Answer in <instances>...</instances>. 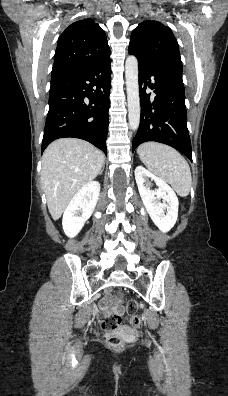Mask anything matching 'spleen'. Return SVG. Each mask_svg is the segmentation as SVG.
Here are the masks:
<instances>
[{"mask_svg":"<svg viewBox=\"0 0 228 396\" xmlns=\"http://www.w3.org/2000/svg\"><path fill=\"white\" fill-rule=\"evenodd\" d=\"M137 153L147 168L168 182L179 196L189 194L192 185L190 167L178 151L161 143L145 142L138 147Z\"/></svg>","mask_w":228,"mask_h":396,"instance_id":"spleen-1","label":"spleen"}]
</instances>
